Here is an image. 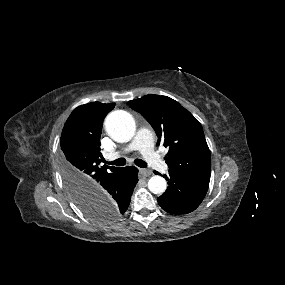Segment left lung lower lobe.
<instances>
[{
	"instance_id": "1",
	"label": "left lung lower lobe",
	"mask_w": 285,
	"mask_h": 285,
	"mask_svg": "<svg viewBox=\"0 0 285 285\" xmlns=\"http://www.w3.org/2000/svg\"><path fill=\"white\" fill-rule=\"evenodd\" d=\"M163 177L168 180L169 186L157 201L166 212L172 214H187L194 211L204 199L209 186V183L186 179L173 172Z\"/></svg>"
}]
</instances>
